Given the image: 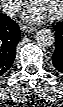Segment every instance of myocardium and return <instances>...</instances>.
Listing matches in <instances>:
<instances>
[{"instance_id":"obj_1","label":"myocardium","mask_w":63,"mask_h":107,"mask_svg":"<svg viewBox=\"0 0 63 107\" xmlns=\"http://www.w3.org/2000/svg\"><path fill=\"white\" fill-rule=\"evenodd\" d=\"M63 11V1L60 2V6L58 8V10L52 14V18H57L62 14Z\"/></svg>"}]
</instances>
